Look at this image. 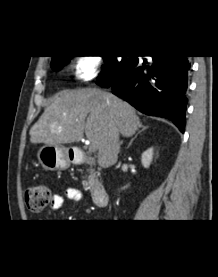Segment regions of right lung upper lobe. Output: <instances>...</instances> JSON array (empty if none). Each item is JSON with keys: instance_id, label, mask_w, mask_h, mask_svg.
Returning <instances> with one entry per match:
<instances>
[{"instance_id": "obj_1", "label": "right lung upper lobe", "mask_w": 218, "mask_h": 277, "mask_svg": "<svg viewBox=\"0 0 218 277\" xmlns=\"http://www.w3.org/2000/svg\"><path fill=\"white\" fill-rule=\"evenodd\" d=\"M57 57H60V56H53V57H52V60L55 59V58H57Z\"/></svg>"}]
</instances>
